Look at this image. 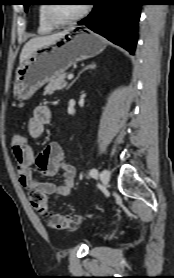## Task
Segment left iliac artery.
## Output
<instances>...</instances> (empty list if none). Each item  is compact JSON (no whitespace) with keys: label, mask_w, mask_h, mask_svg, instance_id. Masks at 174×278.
Instances as JSON below:
<instances>
[{"label":"left iliac artery","mask_w":174,"mask_h":278,"mask_svg":"<svg viewBox=\"0 0 174 278\" xmlns=\"http://www.w3.org/2000/svg\"><path fill=\"white\" fill-rule=\"evenodd\" d=\"M90 176L93 177V178H96L98 176V170L93 168L90 170Z\"/></svg>","instance_id":"left-iliac-artery-1"}]
</instances>
